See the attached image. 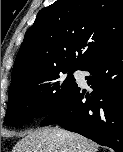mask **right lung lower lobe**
Masks as SVG:
<instances>
[{
  "instance_id": "1",
  "label": "right lung lower lobe",
  "mask_w": 123,
  "mask_h": 152,
  "mask_svg": "<svg viewBox=\"0 0 123 152\" xmlns=\"http://www.w3.org/2000/svg\"><path fill=\"white\" fill-rule=\"evenodd\" d=\"M82 71L90 73L86 80L93 89L91 94L77 87L41 126L56 123L123 152V41L99 53Z\"/></svg>"
}]
</instances>
